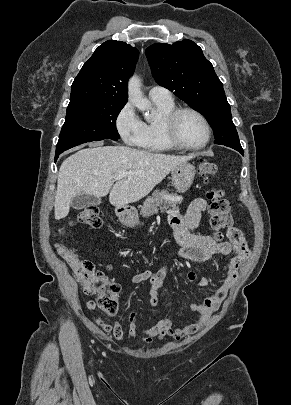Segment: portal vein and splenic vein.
<instances>
[{
    "label": "portal vein and splenic vein",
    "instance_id": "portal-vein-and-splenic-vein-1",
    "mask_svg": "<svg viewBox=\"0 0 291 405\" xmlns=\"http://www.w3.org/2000/svg\"><path fill=\"white\" fill-rule=\"evenodd\" d=\"M129 173L126 171H120L118 173L115 174L114 179L119 180L124 178L125 176H127Z\"/></svg>",
    "mask_w": 291,
    "mask_h": 405
}]
</instances>
